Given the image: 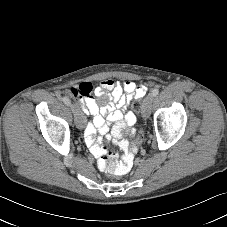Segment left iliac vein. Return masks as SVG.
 <instances>
[{
    "mask_svg": "<svg viewBox=\"0 0 227 227\" xmlns=\"http://www.w3.org/2000/svg\"><path fill=\"white\" fill-rule=\"evenodd\" d=\"M153 102V95L149 94L145 97L142 104V116L146 120L151 113V106Z\"/></svg>",
    "mask_w": 227,
    "mask_h": 227,
    "instance_id": "obj_1",
    "label": "left iliac vein"
}]
</instances>
